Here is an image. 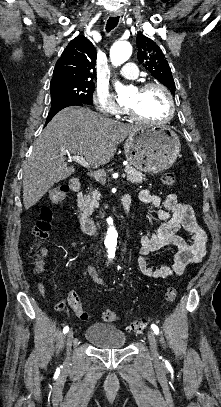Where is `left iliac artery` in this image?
<instances>
[{
	"label": "left iliac artery",
	"mask_w": 221,
	"mask_h": 407,
	"mask_svg": "<svg viewBox=\"0 0 221 407\" xmlns=\"http://www.w3.org/2000/svg\"><path fill=\"white\" fill-rule=\"evenodd\" d=\"M151 328H152V330L154 331V333H155L156 335L159 333V328H158L157 325L152 324V325H151Z\"/></svg>",
	"instance_id": "left-iliac-artery-1"
}]
</instances>
